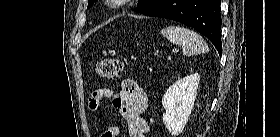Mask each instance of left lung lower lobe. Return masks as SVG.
<instances>
[{
    "mask_svg": "<svg viewBox=\"0 0 280 137\" xmlns=\"http://www.w3.org/2000/svg\"><path fill=\"white\" fill-rule=\"evenodd\" d=\"M220 4V0H162L144 15L171 19L194 28L206 36L221 55Z\"/></svg>",
    "mask_w": 280,
    "mask_h": 137,
    "instance_id": "obj_1",
    "label": "left lung lower lobe"
}]
</instances>
